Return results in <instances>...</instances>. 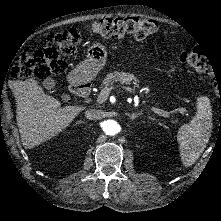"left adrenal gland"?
<instances>
[{
	"instance_id": "obj_1",
	"label": "left adrenal gland",
	"mask_w": 221,
	"mask_h": 221,
	"mask_svg": "<svg viewBox=\"0 0 221 221\" xmlns=\"http://www.w3.org/2000/svg\"><path fill=\"white\" fill-rule=\"evenodd\" d=\"M135 115H138V113H136V114H134V115L129 114V118H130V119H133Z\"/></svg>"
}]
</instances>
